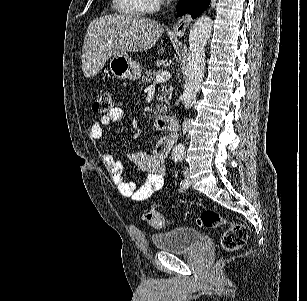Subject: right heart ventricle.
<instances>
[{"mask_svg": "<svg viewBox=\"0 0 307 301\" xmlns=\"http://www.w3.org/2000/svg\"><path fill=\"white\" fill-rule=\"evenodd\" d=\"M114 4H118V13H126L127 16H132L133 12L144 8L143 0H114Z\"/></svg>", "mask_w": 307, "mask_h": 301, "instance_id": "obj_1", "label": "right heart ventricle"}]
</instances>
